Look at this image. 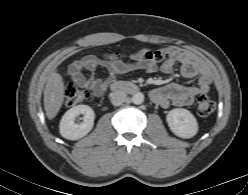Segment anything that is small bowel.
Listing matches in <instances>:
<instances>
[{
  "instance_id": "small-bowel-1",
  "label": "small bowel",
  "mask_w": 248,
  "mask_h": 195,
  "mask_svg": "<svg viewBox=\"0 0 248 195\" xmlns=\"http://www.w3.org/2000/svg\"><path fill=\"white\" fill-rule=\"evenodd\" d=\"M149 49L142 48L131 54V61L111 60L101 62L92 56L85 57L69 68V76L78 86L86 87L96 96L102 95L109 84L118 76L135 70L153 73L160 70L172 74L176 64L180 65V72L185 78H196L195 86H183L175 83L167 84L151 91L152 100L163 108L171 105L188 106L198 95H205L211 87V75L208 68L192 53L173 48H164L165 61L158 64L146 57ZM100 68L107 70V76L101 78L97 71Z\"/></svg>"
}]
</instances>
